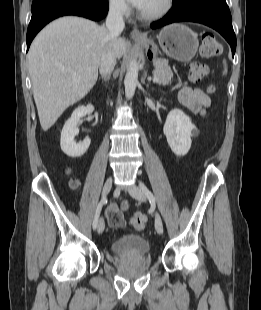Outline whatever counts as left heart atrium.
<instances>
[{
    "label": "left heart atrium",
    "instance_id": "39dd6f15",
    "mask_svg": "<svg viewBox=\"0 0 261 310\" xmlns=\"http://www.w3.org/2000/svg\"><path fill=\"white\" fill-rule=\"evenodd\" d=\"M133 6H135L137 9L141 10L143 6L145 5L147 0H128Z\"/></svg>",
    "mask_w": 261,
    "mask_h": 310
}]
</instances>
